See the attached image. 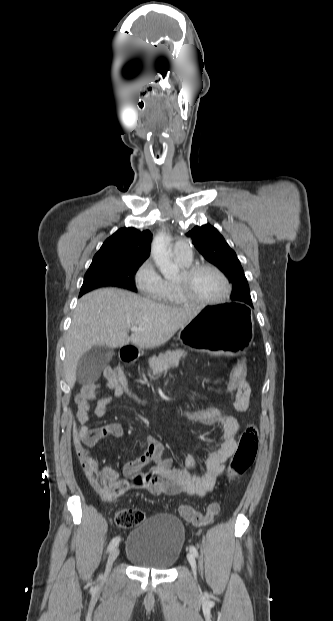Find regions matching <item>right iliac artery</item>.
<instances>
[{"label": "right iliac artery", "mask_w": 333, "mask_h": 621, "mask_svg": "<svg viewBox=\"0 0 333 621\" xmlns=\"http://www.w3.org/2000/svg\"><path fill=\"white\" fill-rule=\"evenodd\" d=\"M119 542H120V537L119 536L114 537L109 543L108 552L112 551L119 544Z\"/></svg>", "instance_id": "1"}]
</instances>
